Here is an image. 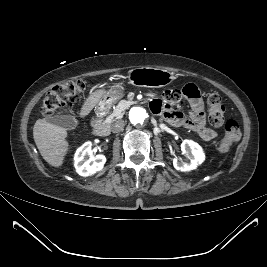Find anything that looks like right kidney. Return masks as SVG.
<instances>
[{"label": "right kidney", "mask_w": 267, "mask_h": 267, "mask_svg": "<svg viewBox=\"0 0 267 267\" xmlns=\"http://www.w3.org/2000/svg\"><path fill=\"white\" fill-rule=\"evenodd\" d=\"M89 156V158H87ZM106 162L104 155L92 156V143L85 142L74 156L76 172L81 176H90L103 169Z\"/></svg>", "instance_id": "right-kidney-1"}]
</instances>
